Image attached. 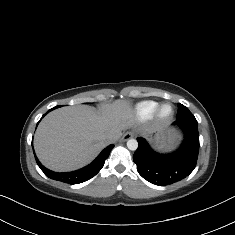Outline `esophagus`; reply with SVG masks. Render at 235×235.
<instances>
[{
    "label": "esophagus",
    "mask_w": 235,
    "mask_h": 235,
    "mask_svg": "<svg viewBox=\"0 0 235 235\" xmlns=\"http://www.w3.org/2000/svg\"><path fill=\"white\" fill-rule=\"evenodd\" d=\"M135 137V133L134 132H131V131H127L121 138V141L122 142H125L131 138Z\"/></svg>",
    "instance_id": "34e87169"
}]
</instances>
